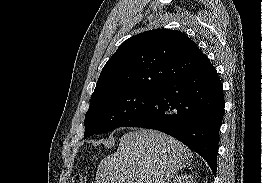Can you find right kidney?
Returning a JSON list of instances; mask_svg holds the SVG:
<instances>
[{"instance_id":"1","label":"right kidney","mask_w":262,"mask_h":183,"mask_svg":"<svg viewBox=\"0 0 262 183\" xmlns=\"http://www.w3.org/2000/svg\"><path fill=\"white\" fill-rule=\"evenodd\" d=\"M171 183H193V177L191 175L176 176Z\"/></svg>"}]
</instances>
